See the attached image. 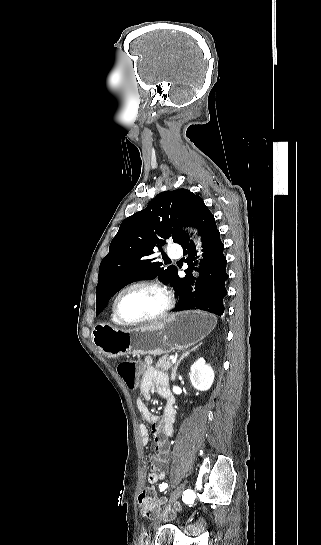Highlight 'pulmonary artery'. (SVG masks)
I'll list each match as a JSON object with an SVG mask.
<instances>
[{
  "label": "pulmonary artery",
  "mask_w": 321,
  "mask_h": 545,
  "mask_svg": "<svg viewBox=\"0 0 321 545\" xmlns=\"http://www.w3.org/2000/svg\"><path fill=\"white\" fill-rule=\"evenodd\" d=\"M181 253L180 246H169L168 250L164 252V259L166 261H175L177 257H180Z\"/></svg>",
  "instance_id": "obj_1"
}]
</instances>
